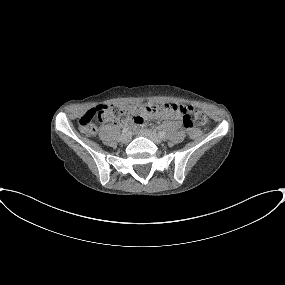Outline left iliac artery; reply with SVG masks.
I'll list each match as a JSON object with an SVG mask.
<instances>
[{
	"instance_id": "1",
	"label": "left iliac artery",
	"mask_w": 285,
	"mask_h": 285,
	"mask_svg": "<svg viewBox=\"0 0 285 285\" xmlns=\"http://www.w3.org/2000/svg\"><path fill=\"white\" fill-rule=\"evenodd\" d=\"M159 135L164 137L165 136V132L164 131H159Z\"/></svg>"
}]
</instances>
